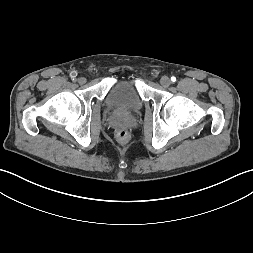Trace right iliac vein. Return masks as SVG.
<instances>
[{"label":"right iliac vein","instance_id":"obj_1","mask_svg":"<svg viewBox=\"0 0 253 253\" xmlns=\"http://www.w3.org/2000/svg\"><path fill=\"white\" fill-rule=\"evenodd\" d=\"M77 81H78V83L79 84H85L86 83V78H84V77H79L78 79H77Z\"/></svg>","mask_w":253,"mask_h":253}]
</instances>
